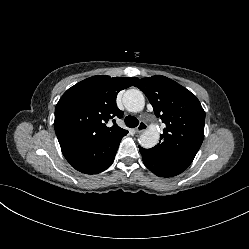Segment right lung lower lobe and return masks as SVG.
Masks as SVG:
<instances>
[{
    "label": "right lung lower lobe",
    "mask_w": 249,
    "mask_h": 249,
    "mask_svg": "<svg viewBox=\"0 0 249 249\" xmlns=\"http://www.w3.org/2000/svg\"><path fill=\"white\" fill-rule=\"evenodd\" d=\"M125 135L95 146L66 147L61 150L76 170L86 174H96L113 163L120 141Z\"/></svg>",
    "instance_id": "98d812e1"
}]
</instances>
